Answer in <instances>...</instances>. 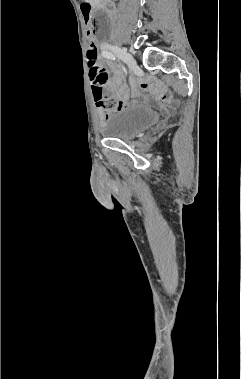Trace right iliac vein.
Segmentation results:
<instances>
[{
	"label": "right iliac vein",
	"mask_w": 241,
	"mask_h": 379,
	"mask_svg": "<svg viewBox=\"0 0 241 379\" xmlns=\"http://www.w3.org/2000/svg\"><path fill=\"white\" fill-rule=\"evenodd\" d=\"M110 49L120 58L122 59L132 70L136 71L138 66L131 56V54L124 48L118 46H110Z\"/></svg>",
	"instance_id": "63e3f726"
}]
</instances>
